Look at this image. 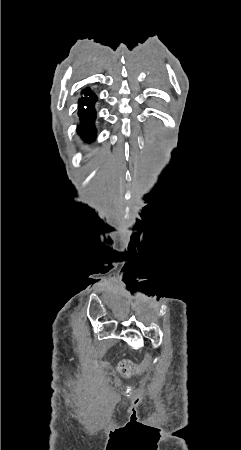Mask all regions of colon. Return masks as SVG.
<instances>
[{
  "instance_id": "5ec220e1",
  "label": "colon",
  "mask_w": 241,
  "mask_h": 450,
  "mask_svg": "<svg viewBox=\"0 0 241 450\" xmlns=\"http://www.w3.org/2000/svg\"><path fill=\"white\" fill-rule=\"evenodd\" d=\"M142 354H143L144 357H146V358H144L143 361H142L143 364L146 365V366L149 365L151 361H150V359L147 358V357L150 356V354H151L150 351L146 349V350L143 351ZM120 365H121V366H120V369H121L122 371H131L132 369L134 370V369L136 368V367H135L136 364H135L134 362H133L132 364H124V363L122 362ZM139 368L142 370L144 367L141 365Z\"/></svg>"
}]
</instances>
